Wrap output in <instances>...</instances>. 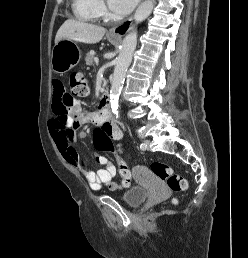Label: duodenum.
Listing matches in <instances>:
<instances>
[{
  "instance_id": "duodenum-1",
  "label": "duodenum",
  "mask_w": 248,
  "mask_h": 258,
  "mask_svg": "<svg viewBox=\"0 0 248 258\" xmlns=\"http://www.w3.org/2000/svg\"><path fill=\"white\" fill-rule=\"evenodd\" d=\"M99 109L103 117H108L111 119L109 95L107 92L103 93L101 107Z\"/></svg>"
}]
</instances>
